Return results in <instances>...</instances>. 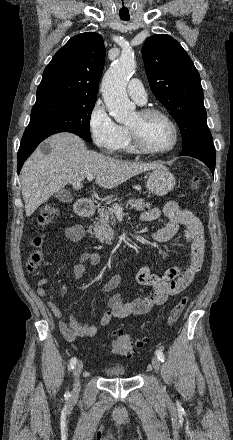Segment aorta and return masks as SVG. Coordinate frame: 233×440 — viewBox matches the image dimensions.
<instances>
[{
    "label": "aorta",
    "mask_w": 233,
    "mask_h": 440,
    "mask_svg": "<svg viewBox=\"0 0 233 440\" xmlns=\"http://www.w3.org/2000/svg\"><path fill=\"white\" fill-rule=\"evenodd\" d=\"M136 63L131 52L123 53L118 61L105 73L101 92L109 113L118 123H125L135 115V105L126 93L129 76L134 72Z\"/></svg>",
    "instance_id": "1"
}]
</instances>
